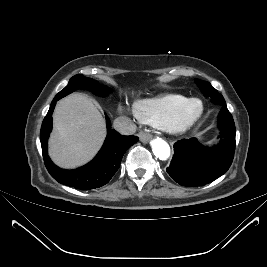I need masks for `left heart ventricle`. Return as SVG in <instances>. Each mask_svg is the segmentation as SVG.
<instances>
[{
	"instance_id": "left-heart-ventricle-1",
	"label": "left heart ventricle",
	"mask_w": 267,
	"mask_h": 267,
	"mask_svg": "<svg viewBox=\"0 0 267 267\" xmlns=\"http://www.w3.org/2000/svg\"><path fill=\"white\" fill-rule=\"evenodd\" d=\"M199 110H200V104L198 102H192L187 107V109L184 113V117L185 118H191V117L195 116L199 112Z\"/></svg>"
}]
</instances>
